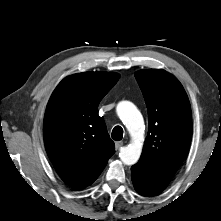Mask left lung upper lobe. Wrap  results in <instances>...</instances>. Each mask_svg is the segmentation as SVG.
<instances>
[{
  "label": "left lung upper lobe",
  "mask_w": 221,
  "mask_h": 221,
  "mask_svg": "<svg viewBox=\"0 0 221 221\" xmlns=\"http://www.w3.org/2000/svg\"><path fill=\"white\" fill-rule=\"evenodd\" d=\"M135 78L143 93L149 129L138 163L171 179L184 161L192 137V114L181 83L164 70H142Z\"/></svg>",
  "instance_id": "5c2ea615"
}]
</instances>
